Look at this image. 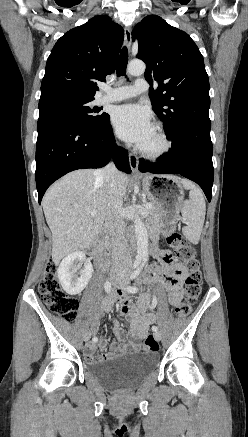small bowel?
<instances>
[{"mask_svg": "<svg viewBox=\"0 0 248 437\" xmlns=\"http://www.w3.org/2000/svg\"><path fill=\"white\" fill-rule=\"evenodd\" d=\"M161 263V268H151L144 275V281L147 283H158L162 285L169 293V303L177 307L180 305L183 296V280L186 275V268L175 262L172 255L167 250H159L156 255ZM117 300L124 313H128L131 321V339L126 342L124 332L120 324L116 321L112 323V332L117 338V342L109 345L105 339H101L96 346V342H90L86 345L85 355L90 362H100L113 358L124 352H136L140 348V340L146 337L149 325L155 321V315L148 313L150 297L143 295L139 298L137 307L129 309V300L120 290L115 289L110 295L102 301V308L108 312L111 310L114 301ZM100 350L102 353L98 354Z\"/></svg>", "mask_w": 248, "mask_h": 437, "instance_id": "small-bowel-1", "label": "small bowel"}]
</instances>
